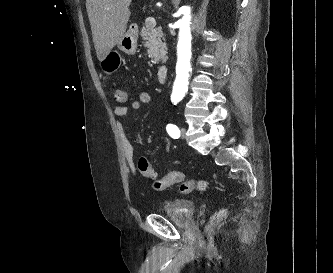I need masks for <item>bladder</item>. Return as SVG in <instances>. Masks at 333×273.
<instances>
[{"label":"bladder","instance_id":"bladder-1","mask_svg":"<svg viewBox=\"0 0 333 273\" xmlns=\"http://www.w3.org/2000/svg\"><path fill=\"white\" fill-rule=\"evenodd\" d=\"M195 205L191 200L180 199L170 202L161 213L180 227L191 226L195 218Z\"/></svg>","mask_w":333,"mask_h":273}]
</instances>
